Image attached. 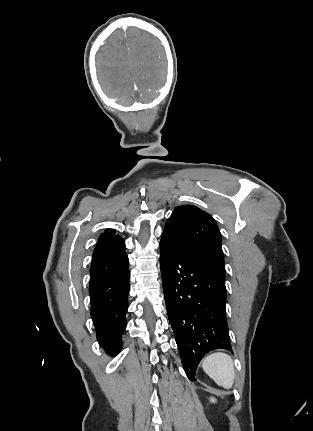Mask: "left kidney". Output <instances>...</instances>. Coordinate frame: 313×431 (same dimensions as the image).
I'll list each match as a JSON object with an SVG mask.
<instances>
[{
	"label": "left kidney",
	"mask_w": 313,
	"mask_h": 431,
	"mask_svg": "<svg viewBox=\"0 0 313 431\" xmlns=\"http://www.w3.org/2000/svg\"><path fill=\"white\" fill-rule=\"evenodd\" d=\"M211 401H212V402H215V399H213V398H212V399H211Z\"/></svg>",
	"instance_id": "obj_1"
}]
</instances>
